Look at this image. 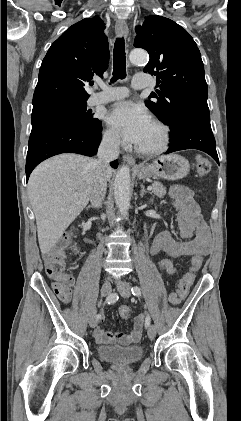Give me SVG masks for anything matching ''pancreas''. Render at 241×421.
I'll list each match as a JSON object with an SVG mask.
<instances>
[{
    "mask_svg": "<svg viewBox=\"0 0 241 421\" xmlns=\"http://www.w3.org/2000/svg\"><path fill=\"white\" fill-rule=\"evenodd\" d=\"M152 187V193H154L157 197L162 198L166 195V187H164L162 183L153 182Z\"/></svg>",
    "mask_w": 241,
    "mask_h": 421,
    "instance_id": "1",
    "label": "pancreas"
}]
</instances>
